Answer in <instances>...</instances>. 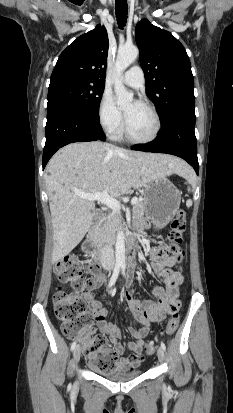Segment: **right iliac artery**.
<instances>
[{"label":"right iliac artery","mask_w":233,"mask_h":413,"mask_svg":"<svg viewBox=\"0 0 233 413\" xmlns=\"http://www.w3.org/2000/svg\"><path fill=\"white\" fill-rule=\"evenodd\" d=\"M119 271H120V265H116L114 268L112 277L110 279V282H109V287L114 285V283L116 282L118 275H119ZM75 348H76V341L72 343L71 350L73 351Z\"/></svg>","instance_id":"obj_1"}]
</instances>
